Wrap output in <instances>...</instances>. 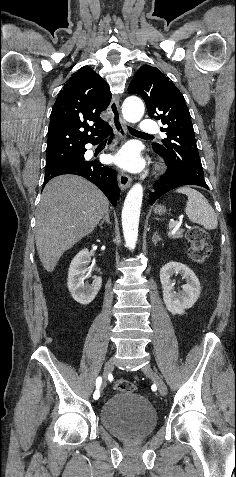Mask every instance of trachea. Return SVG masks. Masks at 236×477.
Returning <instances> with one entry per match:
<instances>
[{
	"instance_id": "1",
	"label": "trachea",
	"mask_w": 236,
	"mask_h": 477,
	"mask_svg": "<svg viewBox=\"0 0 236 477\" xmlns=\"http://www.w3.org/2000/svg\"><path fill=\"white\" fill-rule=\"evenodd\" d=\"M128 130H129L130 133H132V134H146V133L140 132V131H138V130H136V129H133V128H131V127H128Z\"/></svg>"
}]
</instances>
